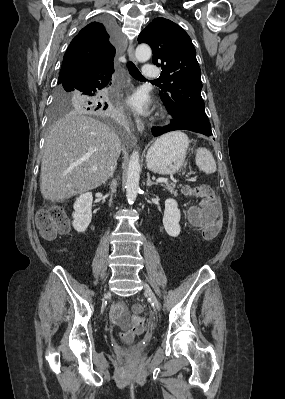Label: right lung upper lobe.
<instances>
[{"instance_id":"1","label":"right lung upper lobe","mask_w":285,"mask_h":399,"mask_svg":"<svg viewBox=\"0 0 285 399\" xmlns=\"http://www.w3.org/2000/svg\"><path fill=\"white\" fill-rule=\"evenodd\" d=\"M115 52V43L104 23L88 24L75 36L65 52L58 85L84 69H113Z\"/></svg>"}]
</instances>
